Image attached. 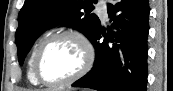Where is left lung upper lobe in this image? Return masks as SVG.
Masks as SVG:
<instances>
[{"mask_svg": "<svg viewBox=\"0 0 173 91\" xmlns=\"http://www.w3.org/2000/svg\"><path fill=\"white\" fill-rule=\"evenodd\" d=\"M93 2L96 0H25L15 35L19 63L46 29L59 24L80 30L90 40L100 24L98 16L90 13Z\"/></svg>", "mask_w": 173, "mask_h": 91, "instance_id": "1", "label": "left lung upper lobe"}]
</instances>
